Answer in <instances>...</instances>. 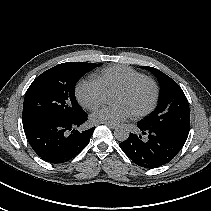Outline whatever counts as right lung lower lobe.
Listing matches in <instances>:
<instances>
[{
  "instance_id": "right-lung-lower-lobe-1",
  "label": "right lung lower lobe",
  "mask_w": 211,
  "mask_h": 211,
  "mask_svg": "<svg viewBox=\"0 0 211 211\" xmlns=\"http://www.w3.org/2000/svg\"><path fill=\"white\" fill-rule=\"evenodd\" d=\"M87 113L66 121H43L23 125L35 153L43 160L59 164L77 156L89 143L95 128L78 131Z\"/></svg>"
}]
</instances>
